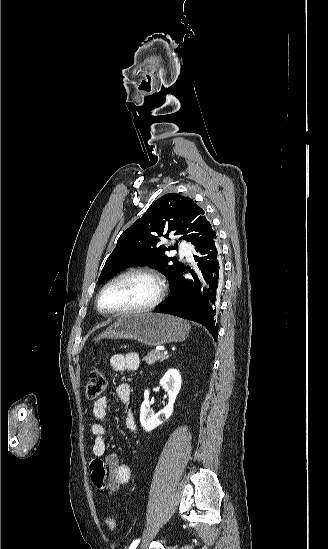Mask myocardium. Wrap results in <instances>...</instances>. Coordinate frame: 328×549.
<instances>
[{"label": "myocardium", "mask_w": 328, "mask_h": 549, "mask_svg": "<svg viewBox=\"0 0 328 549\" xmlns=\"http://www.w3.org/2000/svg\"><path fill=\"white\" fill-rule=\"evenodd\" d=\"M131 273H140L148 276L150 279L153 280V282L156 284V293L154 297L148 303L138 307H132L124 310L106 309L103 306V302H102L105 292L118 280H120L124 276ZM165 291H166L165 281L161 276V274L156 271L155 266L150 264H132L125 267L123 270L117 273L102 287L97 297V308L100 313L112 318H122V317H128L132 315L147 314V313L154 312L157 309L158 305L160 304V302L164 297Z\"/></svg>", "instance_id": "f54148a6"}]
</instances>
